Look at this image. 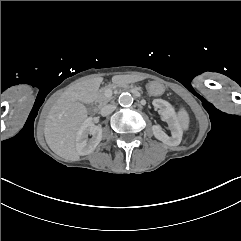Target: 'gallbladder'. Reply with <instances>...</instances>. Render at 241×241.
<instances>
[{
	"instance_id": "obj_1",
	"label": "gallbladder",
	"mask_w": 241,
	"mask_h": 241,
	"mask_svg": "<svg viewBox=\"0 0 241 241\" xmlns=\"http://www.w3.org/2000/svg\"><path fill=\"white\" fill-rule=\"evenodd\" d=\"M86 107L88 108V111L93 110V106H91V105H86Z\"/></svg>"
}]
</instances>
